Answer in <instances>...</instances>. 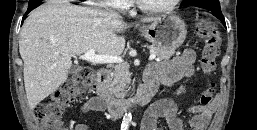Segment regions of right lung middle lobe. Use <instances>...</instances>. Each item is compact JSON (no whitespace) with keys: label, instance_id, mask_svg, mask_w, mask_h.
<instances>
[{"label":"right lung middle lobe","instance_id":"dd1d6c3e","mask_svg":"<svg viewBox=\"0 0 257 130\" xmlns=\"http://www.w3.org/2000/svg\"><path fill=\"white\" fill-rule=\"evenodd\" d=\"M35 2H36V0H30V1H29V5L36 6L37 3L35 4ZM38 2H40V1H38Z\"/></svg>","mask_w":257,"mask_h":130}]
</instances>
